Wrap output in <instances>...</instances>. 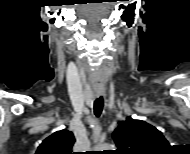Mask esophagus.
<instances>
[{"instance_id": "1", "label": "esophagus", "mask_w": 190, "mask_h": 154, "mask_svg": "<svg viewBox=\"0 0 190 154\" xmlns=\"http://www.w3.org/2000/svg\"><path fill=\"white\" fill-rule=\"evenodd\" d=\"M95 93H96L97 96H100V95H102L104 93V91L103 90H98V91H95Z\"/></svg>"}]
</instances>
